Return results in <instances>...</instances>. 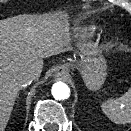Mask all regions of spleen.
Masks as SVG:
<instances>
[{"mask_svg":"<svg viewBox=\"0 0 131 131\" xmlns=\"http://www.w3.org/2000/svg\"><path fill=\"white\" fill-rule=\"evenodd\" d=\"M102 111L117 124L131 123V88L117 99L102 103Z\"/></svg>","mask_w":131,"mask_h":131,"instance_id":"obj_1","label":"spleen"}]
</instances>
